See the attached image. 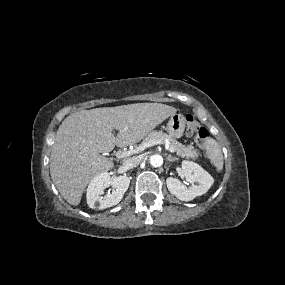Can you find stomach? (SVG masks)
<instances>
[{"mask_svg": "<svg viewBox=\"0 0 285 285\" xmlns=\"http://www.w3.org/2000/svg\"><path fill=\"white\" fill-rule=\"evenodd\" d=\"M186 121L182 114H173L171 115L167 126L166 131L170 137L174 139H179L183 136L185 130Z\"/></svg>", "mask_w": 285, "mask_h": 285, "instance_id": "1", "label": "stomach"}]
</instances>
